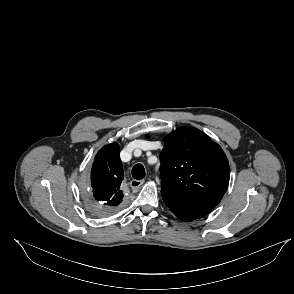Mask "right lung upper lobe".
Wrapping results in <instances>:
<instances>
[{"instance_id": "obj_1", "label": "right lung upper lobe", "mask_w": 294, "mask_h": 294, "mask_svg": "<svg viewBox=\"0 0 294 294\" xmlns=\"http://www.w3.org/2000/svg\"><path fill=\"white\" fill-rule=\"evenodd\" d=\"M123 167L116 142L104 146L95 156L91 169V186L95 212L108 215L122 202L120 185L123 180Z\"/></svg>"}]
</instances>
